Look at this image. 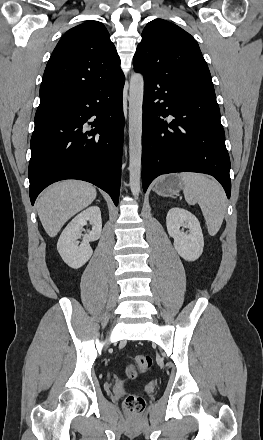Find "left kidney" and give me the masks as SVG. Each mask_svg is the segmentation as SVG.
<instances>
[{
	"label": "left kidney",
	"mask_w": 263,
	"mask_h": 440,
	"mask_svg": "<svg viewBox=\"0 0 263 440\" xmlns=\"http://www.w3.org/2000/svg\"><path fill=\"white\" fill-rule=\"evenodd\" d=\"M166 226L169 236L174 239L175 250L183 259L195 261L201 256L204 239L195 215L183 208H171L167 213ZM182 226L188 228L189 233L180 230Z\"/></svg>",
	"instance_id": "obj_1"
}]
</instances>
